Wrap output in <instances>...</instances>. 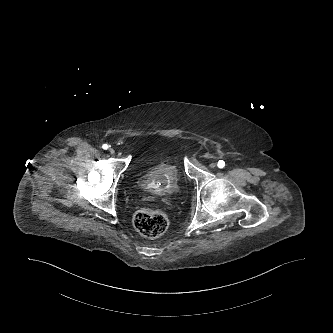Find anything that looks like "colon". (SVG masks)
<instances>
[{"label": "colon", "mask_w": 333, "mask_h": 333, "mask_svg": "<svg viewBox=\"0 0 333 333\" xmlns=\"http://www.w3.org/2000/svg\"><path fill=\"white\" fill-rule=\"evenodd\" d=\"M168 223L167 215L160 210L142 209L133 218L135 229L149 238L162 235L166 231Z\"/></svg>", "instance_id": "5ec220e1"}]
</instances>
